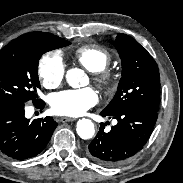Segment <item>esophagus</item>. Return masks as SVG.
Returning a JSON list of instances; mask_svg holds the SVG:
<instances>
[{
  "label": "esophagus",
  "mask_w": 183,
  "mask_h": 183,
  "mask_svg": "<svg viewBox=\"0 0 183 183\" xmlns=\"http://www.w3.org/2000/svg\"><path fill=\"white\" fill-rule=\"evenodd\" d=\"M75 119L74 118H71V117H61L60 118V121L61 122H71V121H74Z\"/></svg>",
  "instance_id": "1"
}]
</instances>
